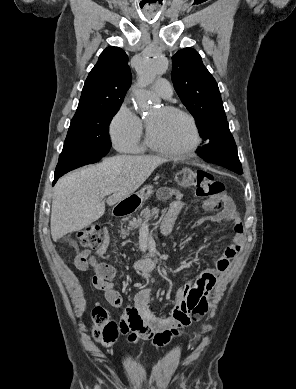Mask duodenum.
<instances>
[{
  "label": "duodenum",
  "mask_w": 296,
  "mask_h": 389,
  "mask_svg": "<svg viewBox=\"0 0 296 389\" xmlns=\"http://www.w3.org/2000/svg\"><path fill=\"white\" fill-rule=\"evenodd\" d=\"M138 202L132 199H127L119 203L115 209L116 216H124L132 213L138 206ZM160 261L159 255H152L150 257L138 260L134 264V269L139 274H147Z\"/></svg>",
  "instance_id": "410a0bca"
}]
</instances>
